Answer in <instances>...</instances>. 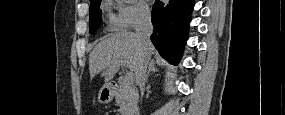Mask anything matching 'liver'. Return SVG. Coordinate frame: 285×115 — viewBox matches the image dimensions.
Returning <instances> with one entry per match:
<instances>
[{
  "label": "liver",
  "mask_w": 285,
  "mask_h": 115,
  "mask_svg": "<svg viewBox=\"0 0 285 115\" xmlns=\"http://www.w3.org/2000/svg\"><path fill=\"white\" fill-rule=\"evenodd\" d=\"M154 51L152 44L145 50L132 32L115 33L97 44L90 53V77L93 78L103 71L104 81L108 84L119 71L121 63H125L136 77L144 57L147 55L149 61Z\"/></svg>",
  "instance_id": "1"
}]
</instances>
